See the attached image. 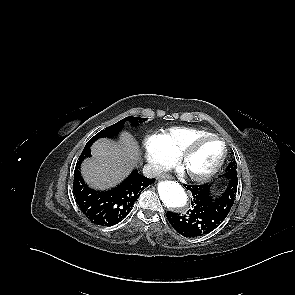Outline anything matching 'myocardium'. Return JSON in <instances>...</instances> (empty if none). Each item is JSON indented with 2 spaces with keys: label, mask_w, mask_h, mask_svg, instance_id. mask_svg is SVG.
Masks as SVG:
<instances>
[{
  "label": "myocardium",
  "mask_w": 295,
  "mask_h": 295,
  "mask_svg": "<svg viewBox=\"0 0 295 295\" xmlns=\"http://www.w3.org/2000/svg\"><path fill=\"white\" fill-rule=\"evenodd\" d=\"M208 140L219 141L222 145V153H221L220 158L217 161V163L208 172H206L204 174H200V175L187 173L189 178L193 181H196V182H206V181L210 180L211 178H213L220 171V169L222 168V166L226 160V156H227V145H226L225 141L223 140V138H221L220 136L215 135V134L203 135V136L197 137V138L193 139L191 142H189L185 146V148L180 152V154L178 155V161H179L180 165L182 167H184L189 156L197 149V147L200 144H202L203 142L208 141Z\"/></svg>",
  "instance_id": "f54148a6"
}]
</instances>
